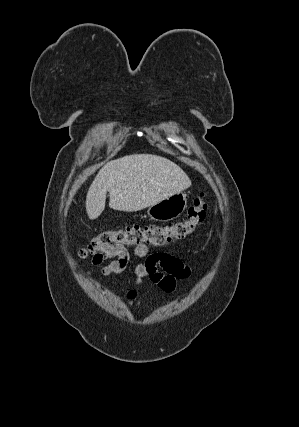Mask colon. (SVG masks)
<instances>
[{"mask_svg":"<svg viewBox=\"0 0 299 427\" xmlns=\"http://www.w3.org/2000/svg\"><path fill=\"white\" fill-rule=\"evenodd\" d=\"M208 202L203 194L196 197L188 209L187 219L168 225L130 226L115 230H105L97 234L82 248L78 257L91 258L99 262L115 256L127 247L139 245L163 246L190 235L206 217Z\"/></svg>","mask_w":299,"mask_h":427,"instance_id":"5ec220e1","label":"colon"}]
</instances>
